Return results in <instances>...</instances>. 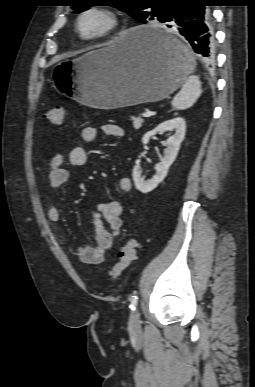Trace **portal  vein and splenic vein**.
Masks as SVG:
<instances>
[{
	"label": "portal vein and splenic vein",
	"instance_id": "18ae733b",
	"mask_svg": "<svg viewBox=\"0 0 255 387\" xmlns=\"http://www.w3.org/2000/svg\"><path fill=\"white\" fill-rule=\"evenodd\" d=\"M153 115V112L152 111H146L144 113V117H151Z\"/></svg>",
	"mask_w": 255,
	"mask_h": 387
}]
</instances>
